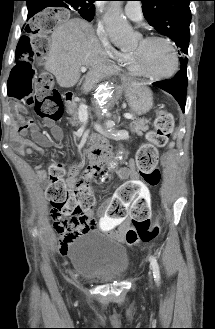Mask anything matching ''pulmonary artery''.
<instances>
[{
    "label": "pulmonary artery",
    "instance_id": "e3ab8cb5",
    "mask_svg": "<svg viewBox=\"0 0 215 329\" xmlns=\"http://www.w3.org/2000/svg\"><path fill=\"white\" fill-rule=\"evenodd\" d=\"M124 13L128 19L134 22H139L143 19L142 7L139 2H128Z\"/></svg>",
    "mask_w": 215,
    "mask_h": 329
}]
</instances>
